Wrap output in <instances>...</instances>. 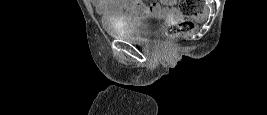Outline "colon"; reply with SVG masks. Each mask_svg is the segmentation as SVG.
<instances>
[{
  "instance_id": "1",
  "label": "colon",
  "mask_w": 267,
  "mask_h": 115,
  "mask_svg": "<svg viewBox=\"0 0 267 115\" xmlns=\"http://www.w3.org/2000/svg\"><path fill=\"white\" fill-rule=\"evenodd\" d=\"M180 11L184 15H196L202 9L200 0H180ZM195 29L192 20H182L176 24L167 26L161 36L165 42H171L181 36L191 34Z\"/></svg>"
}]
</instances>
